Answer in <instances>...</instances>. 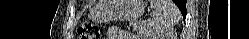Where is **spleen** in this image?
I'll list each match as a JSON object with an SVG mask.
<instances>
[{
    "instance_id": "spleen-1",
    "label": "spleen",
    "mask_w": 249,
    "mask_h": 39,
    "mask_svg": "<svg viewBox=\"0 0 249 39\" xmlns=\"http://www.w3.org/2000/svg\"><path fill=\"white\" fill-rule=\"evenodd\" d=\"M150 3L153 8L150 20V25L154 29L153 34L161 36L180 20V11L171 0H151Z\"/></svg>"
}]
</instances>
